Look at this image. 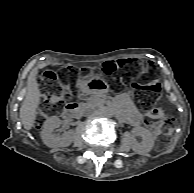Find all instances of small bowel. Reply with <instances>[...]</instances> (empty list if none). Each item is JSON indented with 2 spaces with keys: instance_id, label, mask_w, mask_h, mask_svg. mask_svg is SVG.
<instances>
[{
  "instance_id": "1",
  "label": "small bowel",
  "mask_w": 194,
  "mask_h": 193,
  "mask_svg": "<svg viewBox=\"0 0 194 193\" xmlns=\"http://www.w3.org/2000/svg\"><path fill=\"white\" fill-rule=\"evenodd\" d=\"M122 103L125 104L127 111H128V117H129V122L133 125V126H139L142 123L143 117L142 115L137 112L132 103L130 102V100H128L127 98H122L121 99Z\"/></svg>"
}]
</instances>
